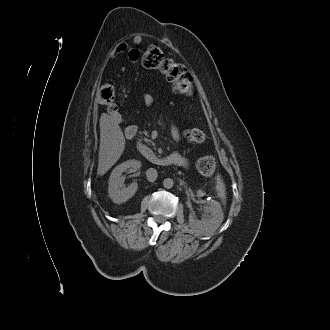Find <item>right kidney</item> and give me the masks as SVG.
<instances>
[{
    "mask_svg": "<svg viewBox=\"0 0 330 330\" xmlns=\"http://www.w3.org/2000/svg\"><path fill=\"white\" fill-rule=\"evenodd\" d=\"M141 167V162L137 160H128L117 165L109 178L108 194L112 201L116 204H121L129 200L137 192L138 184L136 182L131 183L128 187L124 186L125 177L122 173L129 168H133L137 171Z\"/></svg>",
    "mask_w": 330,
    "mask_h": 330,
    "instance_id": "1",
    "label": "right kidney"
}]
</instances>
